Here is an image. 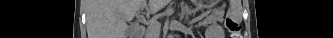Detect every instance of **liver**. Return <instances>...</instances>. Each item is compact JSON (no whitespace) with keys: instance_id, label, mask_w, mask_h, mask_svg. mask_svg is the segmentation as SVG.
<instances>
[{"instance_id":"1","label":"liver","mask_w":333,"mask_h":38,"mask_svg":"<svg viewBox=\"0 0 333 38\" xmlns=\"http://www.w3.org/2000/svg\"><path fill=\"white\" fill-rule=\"evenodd\" d=\"M147 0H88L87 34L88 38H127L131 21ZM169 0H149L148 13H156Z\"/></svg>"}]
</instances>
